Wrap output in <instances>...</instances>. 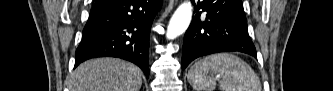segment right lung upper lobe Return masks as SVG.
<instances>
[{
  "label": "right lung upper lobe",
  "mask_w": 333,
  "mask_h": 91,
  "mask_svg": "<svg viewBox=\"0 0 333 91\" xmlns=\"http://www.w3.org/2000/svg\"><path fill=\"white\" fill-rule=\"evenodd\" d=\"M99 1H105V0H96V2H99Z\"/></svg>",
  "instance_id": "right-lung-upper-lobe-1"
}]
</instances>
